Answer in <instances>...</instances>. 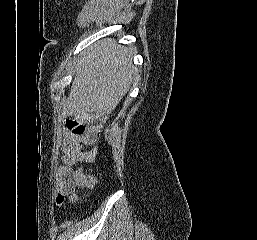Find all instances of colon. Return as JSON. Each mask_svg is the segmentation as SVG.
Listing matches in <instances>:
<instances>
[{"mask_svg":"<svg viewBox=\"0 0 257 240\" xmlns=\"http://www.w3.org/2000/svg\"><path fill=\"white\" fill-rule=\"evenodd\" d=\"M67 128L73 132L74 134H82L84 133L89 127L86 126L85 124L75 120V119H68L66 121ZM84 183L85 184H92L93 179L90 177H85L84 178ZM75 198V194L71 193L69 195H59L57 197V203L58 204H64L66 200H73Z\"/></svg>","mask_w":257,"mask_h":240,"instance_id":"colon-1","label":"colon"}]
</instances>
